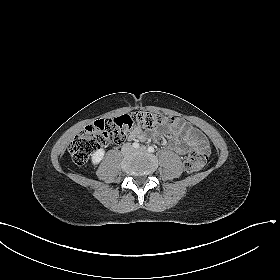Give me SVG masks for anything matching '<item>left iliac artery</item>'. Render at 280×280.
<instances>
[{
  "label": "left iliac artery",
  "mask_w": 280,
  "mask_h": 280,
  "mask_svg": "<svg viewBox=\"0 0 280 280\" xmlns=\"http://www.w3.org/2000/svg\"><path fill=\"white\" fill-rule=\"evenodd\" d=\"M154 150H155L154 147H152V146L148 147L149 152H154Z\"/></svg>",
  "instance_id": "obj_1"
}]
</instances>
